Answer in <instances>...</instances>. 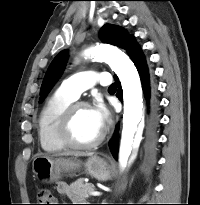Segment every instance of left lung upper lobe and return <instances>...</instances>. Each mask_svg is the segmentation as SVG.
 Returning <instances> with one entry per match:
<instances>
[{
    "mask_svg": "<svg viewBox=\"0 0 200 205\" xmlns=\"http://www.w3.org/2000/svg\"><path fill=\"white\" fill-rule=\"evenodd\" d=\"M132 37L133 36L129 35L124 29L114 25H105L100 30V38L103 42L116 45L123 49H125L127 43ZM67 58V50H63L51 62L41 86L40 102L44 100L62 75Z\"/></svg>",
    "mask_w": 200,
    "mask_h": 205,
    "instance_id": "1",
    "label": "left lung upper lobe"
}]
</instances>
